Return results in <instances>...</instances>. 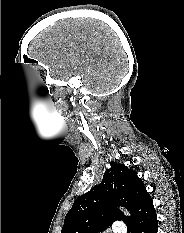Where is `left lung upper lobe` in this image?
<instances>
[{"label": "left lung upper lobe", "mask_w": 184, "mask_h": 233, "mask_svg": "<svg viewBox=\"0 0 184 233\" xmlns=\"http://www.w3.org/2000/svg\"><path fill=\"white\" fill-rule=\"evenodd\" d=\"M146 193L135 171L113 162L102 182L75 200L65 216L61 233H98L116 220L126 223L130 218L117 207H126L132 214Z\"/></svg>", "instance_id": "obj_1"}]
</instances>
